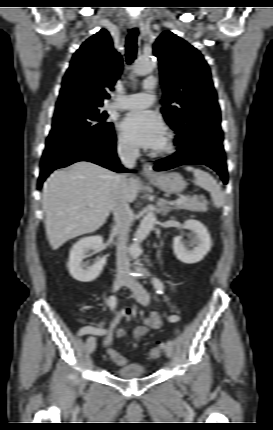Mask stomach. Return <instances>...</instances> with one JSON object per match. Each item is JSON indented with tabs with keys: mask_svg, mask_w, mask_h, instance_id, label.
Listing matches in <instances>:
<instances>
[{
	"mask_svg": "<svg viewBox=\"0 0 273 430\" xmlns=\"http://www.w3.org/2000/svg\"><path fill=\"white\" fill-rule=\"evenodd\" d=\"M149 179L155 186L167 193H180L185 187L182 176L175 172L158 173L150 176Z\"/></svg>",
	"mask_w": 273,
	"mask_h": 430,
	"instance_id": "1",
	"label": "stomach"
}]
</instances>
